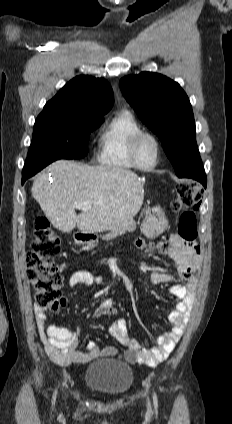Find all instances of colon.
Here are the masks:
<instances>
[{
	"mask_svg": "<svg viewBox=\"0 0 232 424\" xmlns=\"http://www.w3.org/2000/svg\"><path fill=\"white\" fill-rule=\"evenodd\" d=\"M203 191L192 182L177 186L172 202L174 211L181 212L178 236L186 243L197 239V217ZM61 253V240L51 229L48 220L38 216L35 220V238L26 256V274L35 292V306L41 310L57 312L61 306V282L55 259Z\"/></svg>",
	"mask_w": 232,
	"mask_h": 424,
	"instance_id": "colon-1",
	"label": "colon"
}]
</instances>
